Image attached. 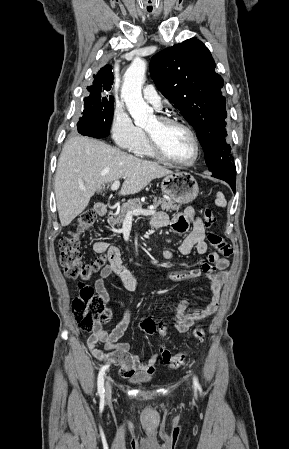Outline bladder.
Wrapping results in <instances>:
<instances>
[{
	"label": "bladder",
	"instance_id": "bladder-1",
	"mask_svg": "<svg viewBox=\"0 0 289 449\" xmlns=\"http://www.w3.org/2000/svg\"><path fill=\"white\" fill-rule=\"evenodd\" d=\"M151 381V377L146 374H138L132 378V382L135 384H145Z\"/></svg>",
	"mask_w": 289,
	"mask_h": 449
}]
</instances>
